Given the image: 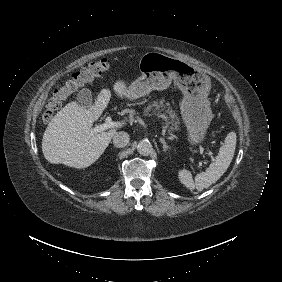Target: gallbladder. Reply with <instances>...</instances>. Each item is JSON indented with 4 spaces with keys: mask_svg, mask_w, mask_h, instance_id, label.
<instances>
[{
    "mask_svg": "<svg viewBox=\"0 0 282 282\" xmlns=\"http://www.w3.org/2000/svg\"><path fill=\"white\" fill-rule=\"evenodd\" d=\"M92 102V94L89 89H82L77 94V103L81 106L89 105Z\"/></svg>",
    "mask_w": 282,
    "mask_h": 282,
    "instance_id": "bac80fb5",
    "label": "gallbladder"
}]
</instances>
